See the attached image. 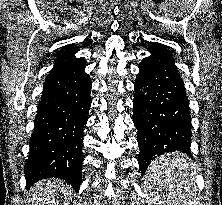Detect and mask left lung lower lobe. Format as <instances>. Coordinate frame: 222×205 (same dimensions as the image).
I'll return each mask as SVG.
<instances>
[{"label": "left lung lower lobe", "mask_w": 222, "mask_h": 205, "mask_svg": "<svg viewBox=\"0 0 222 205\" xmlns=\"http://www.w3.org/2000/svg\"><path fill=\"white\" fill-rule=\"evenodd\" d=\"M139 64L134 84L133 122L138 130V163L144 174L158 155H190L191 117L185 87L169 51L152 46ZM144 87L145 95L140 93Z\"/></svg>", "instance_id": "obj_1"}]
</instances>
